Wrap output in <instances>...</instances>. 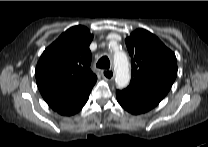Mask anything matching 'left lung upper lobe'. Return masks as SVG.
Returning a JSON list of instances; mask_svg holds the SVG:
<instances>
[{
    "label": "left lung upper lobe",
    "instance_id": "obj_1",
    "mask_svg": "<svg viewBox=\"0 0 208 147\" xmlns=\"http://www.w3.org/2000/svg\"><path fill=\"white\" fill-rule=\"evenodd\" d=\"M125 42L132 65L129 87L163 99L177 76L175 54L145 29L135 30Z\"/></svg>",
    "mask_w": 208,
    "mask_h": 147
}]
</instances>
